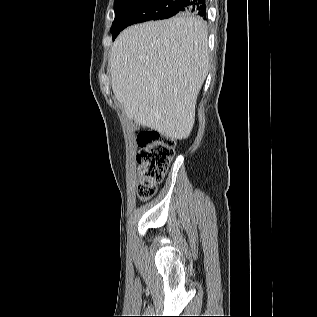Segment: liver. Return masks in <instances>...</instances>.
Segmentation results:
<instances>
[{
    "label": "liver",
    "mask_w": 317,
    "mask_h": 317,
    "mask_svg": "<svg viewBox=\"0 0 317 317\" xmlns=\"http://www.w3.org/2000/svg\"><path fill=\"white\" fill-rule=\"evenodd\" d=\"M112 90L129 119L171 139H186L209 70L203 20L176 16L123 30L111 47Z\"/></svg>",
    "instance_id": "obj_1"
}]
</instances>
